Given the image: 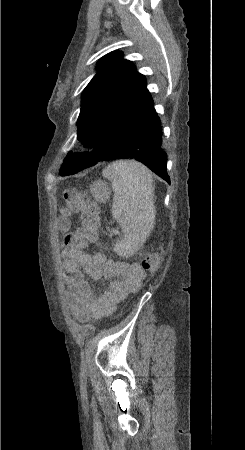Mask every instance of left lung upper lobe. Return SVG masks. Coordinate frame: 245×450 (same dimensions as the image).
<instances>
[{"label": "left lung upper lobe", "instance_id": "obj_1", "mask_svg": "<svg viewBox=\"0 0 245 450\" xmlns=\"http://www.w3.org/2000/svg\"><path fill=\"white\" fill-rule=\"evenodd\" d=\"M121 56L122 52L114 51L101 58L99 71L82 93L77 139L85 145L95 143L101 155L96 159L92 154L69 153L61 176L77 173L103 160V154L119 151L153 105L146 78Z\"/></svg>", "mask_w": 245, "mask_h": 450}]
</instances>
